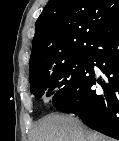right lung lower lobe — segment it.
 I'll return each mask as SVG.
<instances>
[{"label":"right lung lower lobe","instance_id":"98d812e1","mask_svg":"<svg viewBox=\"0 0 119 141\" xmlns=\"http://www.w3.org/2000/svg\"><path fill=\"white\" fill-rule=\"evenodd\" d=\"M88 59L90 66L72 96L56 108L76 114L91 129L119 140V19L96 40ZM94 65L102 77L95 75Z\"/></svg>","mask_w":119,"mask_h":141}]
</instances>
